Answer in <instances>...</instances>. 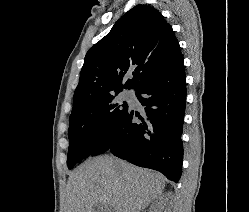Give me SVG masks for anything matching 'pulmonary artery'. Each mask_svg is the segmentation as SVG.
Wrapping results in <instances>:
<instances>
[{"mask_svg":"<svg viewBox=\"0 0 249 212\" xmlns=\"http://www.w3.org/2000/svg\"><path fill=\"white\" fill-rule=\"evenodd\" d=\"M125 94L130 97H134V94L131 91H126Z\"/></svg>","mask_w":249,"mask_h":212,"instance_id":"e3ab8cb5","label":"pulmonary artery"}]
</instances>
